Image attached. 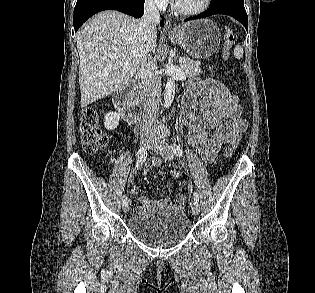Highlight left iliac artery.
<instances>
[{"label": "left iliac artery", "instance_id": "obj_1", "mask_svg": "<svg viewBox=\"0 0 315 293\" xmlns=\"http://www.w3.org/2000/svg\"><path fill=\"white\" fill-rule=\"evenodd\" d=\"M171 147H172L174 154L177 157H179V158L182 157L183 152H182V149L180 148V146H178L176 143H173ZM193 198H194V200L199 201V195L197 192H194Z\"/></svg>", "mask_w": 315, "mask_h": 293}]
</instances>
